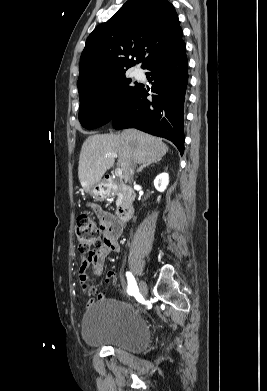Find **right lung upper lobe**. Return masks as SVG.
Wrapping results in <instances>:
<instances>
[{"label":"right lung upper lobe","mask_w":267,"mask_h":391,"mask_svg":"<svg viewBox=\"0 0 267 391\" xmlns=\"http://www.w3.org/2000/svg\"><path fill=\"white\" fill-rule=\"evenodd\" d=\"M178 16L167 0H128L89 35L80 59L79 94L101 79L153 60L184 42Z\"/></svg>","instance_id":"right-lung-upper-lobe-1"}]
</instances>
